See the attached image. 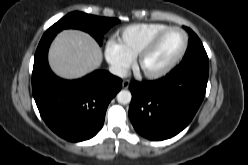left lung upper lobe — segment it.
I'll use <instances>...</instances> for the list:
<instances>
[{"label":"left lung upper lobe","instance_id":"1","mask_svg":"<svg viewBox=\"0 0 248 165\" xmlns=\"http://www.w3.org/2000/svg\"><path fill=\"white\" fill-rule=\"evenodd\" d=\"M189 33L188 48L183 59L188 58L196 53L206 52L201 40L198 36L188 27H184Z\"/></svg>","mask_w":248,"mask_h":165}]
</instances>
